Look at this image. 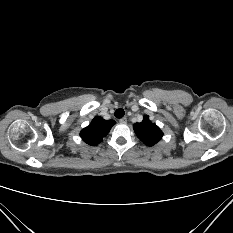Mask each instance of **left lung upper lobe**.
Segmentation results:
<instances>
[{"label": "left lung upper lobe", "mask_w": 233, "mask_h": 233, "mask_svg": "<svg viewBox=\"0 0 233 233\" xmlns=\"http://www.w3.org/2000/svg\"><path fill=\"white\" fill-rule=\"evenodd\" d=\"M133 128L138 138L148 146H153L163 136V132L149 120L148 116H144L141 123H135Z\"/></svg>", "instance_id": "obj_1"}]
</instances>
